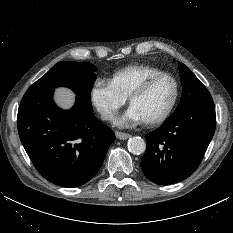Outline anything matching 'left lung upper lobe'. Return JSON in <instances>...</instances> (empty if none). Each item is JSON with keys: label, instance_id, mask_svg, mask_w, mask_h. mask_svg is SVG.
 I'll list each match as a JSON object with an SVG mask.
<instances>
[{"label": "left lung upper lobe", "instance_id": "5c2ea615", "mask_svg": "<svg viewBox=\"0 0 233 233\" xmlns=\"http://www.w3.org/2000/svg\"><path fill=\"white\" fill-rule=\"evenodd\" d=\"M179 69L182 83V96L178 107L171 116L178 115L185 109L196 104L212 101V97L206 87L186 65L179 63Z\"/></svg>", "mask_w": 233, "mask_h": 233}]
</instances>
